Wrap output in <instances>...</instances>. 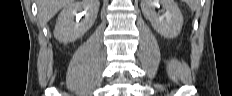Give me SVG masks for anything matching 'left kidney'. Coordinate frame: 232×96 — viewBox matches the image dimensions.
Segmentation results:
<instances>
[{"label": "left kidney", "instance_id": "1", "mask_svg": "<svg viewBox=\"0 0 232 96\" xmlns=\"http://www.w3.org/2000/svg\"><path fill=\"white\" fill-rule=\"evenodd\" d=\"M161 4L165 13L159 15L155 6ZM141 9L153 28L165 38H175L179 35L182 25V13L174 0H141Z\"/></svg>", "mask_w": 232, "mask_h": 96}]
</instances>
